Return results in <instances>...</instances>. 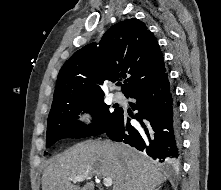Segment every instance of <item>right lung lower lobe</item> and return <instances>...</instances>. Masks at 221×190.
Here are the masks:
<instances>
[{"mask_svg": "<svg viewBox=\"0 0 221 190\" xmlns=\"http://www.w3.org/2000/svg\"><path fill=\"white\" fill-rule=\"evenodd\" d=\"M126 97L137 100L131 107L138 110L134 118L139 126H132L122 110L105 134L111 140L146 152L163 165L177 166L181 151L180 124L168 74L135 89Z\"/></svg>", "mask_w": 221, "mask_h": 190, "instance_id": "right-lung-lower-lobe-1", "label": "right lung lower lobe"}]
</instances>
